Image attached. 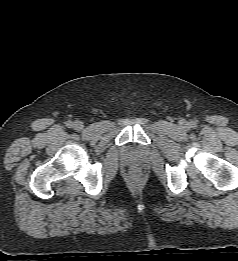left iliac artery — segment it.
<instances>
[{
  "label": "left iliac artery",
  "mask_w": 238,
  "mask_h": 261,
  "mask_svg": "<svg viewBox=\"0 0 238 261\" xmlns=\"http://www.w3.org/2000/svg\"><path fill=\"white\" fill-rule=\"evenodd\" d=\"M190 125H191V127L195 128V127H196V122L192 121V122L190 123Z\"/></svg>",
  "instance_id": "left-iliac-artery-1"
}]
</instances>
